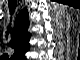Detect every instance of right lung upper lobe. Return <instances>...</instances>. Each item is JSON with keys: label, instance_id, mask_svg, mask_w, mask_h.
Segmentation results:
<instances>
[{"label": "right lung upper lobe", "instance_id": "right-lung-upper-lobe-1", "mask_svg": "<svg viewBox=\"0 0 80 60\" xmlns=\"http://www.w3.org/2000/svg\"><path fill=\"white\" fill-rule=\"evenodd\" d=\"M29 27V14L26 9L20 11L15 20L10 46L15 49V54L24 57V53L29 49L30 34L27 32Z\"/></svg>", "mask_w": 80, "mask_h": 60}]
</instances>
